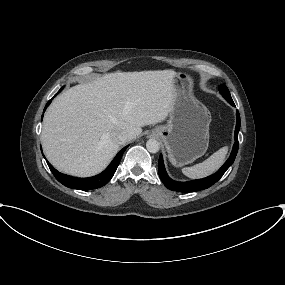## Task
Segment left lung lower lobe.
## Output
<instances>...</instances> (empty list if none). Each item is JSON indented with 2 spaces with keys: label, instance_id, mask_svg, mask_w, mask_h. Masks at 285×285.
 Returning a JSON list of instances; mask_svg holds the SVG:
<instances>
[{
  "label": "left lung lower lobe",
  "instance_id": "1",
  "mask_svg": "<svg viewBox=\"0 0 285 285\" xmlns=\"http://www.w3.org/2000/svg\"><path fill=\"white\" fill-rule=\"evenodd\" d=\"M231 105L235 106L234 102L232 99H226ZM237 117V123H236V129H235V144L233 146V150L231 152V155L229 159L225 162V164L213 175L208 176L203 179H198V180H193V181H188V182H177L172 180L166 173L164 163H163V158L160 155L159 162H158V171H159V176L164 183V185L173 191H178V192H195V191H200L203 189H207L213 184H215L226 172V170L233 164L237 152H238V132L240 130V115L239 112L237 111L236 113Z\"/></svg>",
  "mask_w": 285,
  "mask_h": 285
}]
</instances>
